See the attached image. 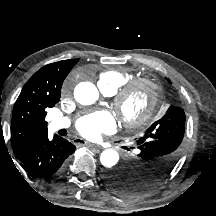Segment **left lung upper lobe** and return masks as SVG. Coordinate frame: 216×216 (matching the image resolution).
Wrapping results in <instances>:
<instances>
[{"label":"left lung upper lobe","mask_w":216,"mask_h":216,"mask_svg":"<svg viewBox=\"0 0 216 216\" xmlns=\"http://www.w3.org/2000/svg\"><path fill=\"white\" fill-rule=\"evenodd\" d=\"M170 83V80L167 79ZM185 113L171 105L166 114L154 122L137 140L138 154L127 160L126 171L109 184L124 196L145 192L161 182L178 161L185 133ZM120 167L112 170H119Z\"/></svg>","instance_id":"5c2ea615"}]
</instances>
